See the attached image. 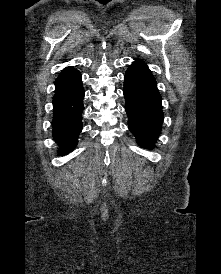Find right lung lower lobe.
I'll return each mask as SVG.
<instances>
[{
  "label": "right lung lower lobe",
  "mask_w": 221,
  "mask_h": 274,
  "mask_svg": "<svg viewBox=\"0 0 221 274\" xmlns=\"http://www.w3.org/2000/svg\"><path fill=\"white\" fill-rule=\"evenodd\" d=\"M83 98L81 73L73 67H66L55 81L53 97L52 135L61 155L69 153L77 145L82 129Z\"/></svg>",
  "instance_id": "obj_1"
}]
</instances>
